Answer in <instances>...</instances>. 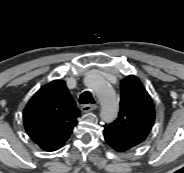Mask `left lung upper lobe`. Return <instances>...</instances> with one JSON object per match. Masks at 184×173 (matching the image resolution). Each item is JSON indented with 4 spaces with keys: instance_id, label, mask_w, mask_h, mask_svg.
Returning <instances> with one entry per match:
<instances>
[{
    "instance_id": "5c2ea615",
    "label": "left lung upper lobe",
    "mask_w": 184,
    "mask_h": 173,
    "mask_svg": "<svg viewBox=\"0 0 184 173\" xmlns=\"http://www.w3.org/2000/svg\"><path fill=\"white\" fill-rule=\"evenodd\" d=\"M154 121L155 109L151 97L136 76H127L121 81L118 118L105 125L104 131L133 148L146 139Z\"/></svg>"
}]
</instances>
